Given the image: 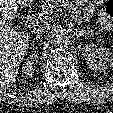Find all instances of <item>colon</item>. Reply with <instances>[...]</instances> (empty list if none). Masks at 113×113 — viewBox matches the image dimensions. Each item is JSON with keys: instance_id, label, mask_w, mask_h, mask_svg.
<instances>
[{"instance_id": "colon-1", "label": "colon", "mask_w": 113, "mask_h": 113, "mask_svg": "<svg viewBox=\"0 0 113 113\" xmlns=\"http://www.w3.org/2000/svg\"><path fill=\"white\" fill-rule=\"evenodd\" d=\"M99 10L101 15L104 16L109 23L113 21V0L102 1Z\"/></svg>"}]
</instances>
